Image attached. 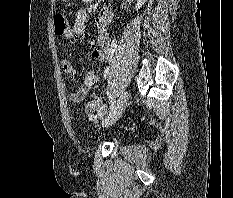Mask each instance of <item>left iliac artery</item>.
<instances>
[{"label": "left iliac artery", "instance_id": "left-iliac-artery-1", "mask_svg": "<svg viewBox=\"0 0 233 198\" xmlns=\"http://www.w3.org/2000/svg\"><path fill=\"white\" fill-rule=\"evenodd\" d=\"M107 94L109 95V103H110V111L108 114V116H109L115 109V102H114L113 96L109 92H107Z\"/></svg>", "mask_w": 233, "mask_h": 198}]
</instances>
